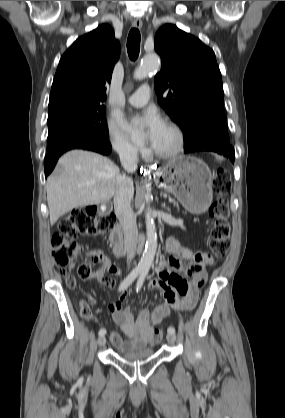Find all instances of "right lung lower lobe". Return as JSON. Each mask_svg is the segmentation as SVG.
I'll list each match as a JSON object with an SVG mask.
<instances>
[{
  "label": "right lung lower lobe",
  "instance_id": "right-lung-lower-lobe-1",
  "mask_svg": "<svg viewBox=\"0 0 285 418\" xmlns=\"http://www.w3.org/2000/svg\"><path fill=\"white\" fill-rule=\"evenodd\" d=\"M86 149L101 154H109L111 152V144L109 140L95 139L91 137H78L67 140L50 151L44 159L45 176L47 177L54 169L58 158L66 151L71 149Z\"/></svg>",
  "mask_w": 285,
  "mask_h": 418
}]
</instances>
